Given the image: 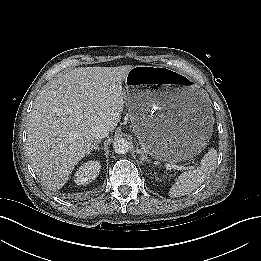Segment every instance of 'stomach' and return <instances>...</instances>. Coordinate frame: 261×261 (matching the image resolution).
<instances>
[{
    "mask_svg": "<svg viewBox=\"0 0 261 261\" xmlns=\"http://www.w3.org/2000/svg\"><path fill=\"white\" fill-rule=\"evenodd\" d=\"M152 75L169 79L152 84ZM148 85L158 87L147 89ZM125 89L134 131L149 156L180 162L206 146L212 134L210 108L186 77L165 68L139 65L128 72Z\"/></svg>",
    "mask_w": 261,
    "mask_h": 261,
    "instance_id": "0dacf381",
    "label": "stomach"
}]
</instances>
